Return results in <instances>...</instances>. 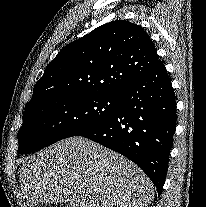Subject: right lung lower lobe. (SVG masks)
<instances>
[{
  "label": "right lung lower lobe",
  "mask_w": 206,
  "mask_h": 207,
  "mask_svg": "<svg viewBox=\"0 0 206 207\" xmlns=\"http://www.w3.org/2000/svg\"><path fill=\"white\" fill-rule=\"evenodd\" d=\"M118 110L77 136L91 139L136 163L162 193L176 127L171 80L160 60L122 90Z\"/></svg>",
  "instance_id": "right-lung-lower-lobe-1"
}]
</instances>
